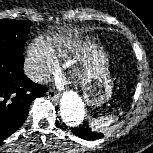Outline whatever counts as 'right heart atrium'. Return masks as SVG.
<instances>
[{
  "mask_svg": "<svg viewBox=\"0 0 153 153\" xmlns=\"http://www.w3.org/2000/svg\"><path fill=\"white\" fill-rule=\"evenodd\" d=\"M56 68L57 62L45 42L41 39L33 40L28 46L25 58V69L28 75L35 82L42 83Z\"/></svg>",
  "mask_w": 153,
  "mask_h": 153,
  "instance_id": "right-heart-atrium-1",
  "label": "right heart atrium"
}]
</instances>
